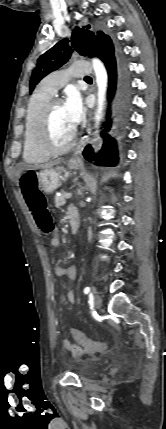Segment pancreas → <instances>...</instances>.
I'll return each instance as SVG.
<instances>
[{
  "label": "pancreas",
  "instance_id": "pancreas-1",
  "mask_svg": "<svg viewBox=\"0 0 166 429\" xmlns=\"http://www.w3.org/2000/svg\"><path fill=\"white\" fill-rule=\"evenodd\" d=\"M66 203V193H63L61 196L55 197V207L61 208Z\"/></svg>",
  "mask_w": 166,
  "mask_h": 429
}]
</instances>
